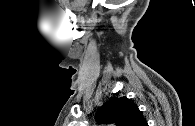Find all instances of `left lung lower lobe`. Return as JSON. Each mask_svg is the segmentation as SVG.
Here are the masks:
<instances>
[{"label": "left lung lower lobe", "mask_w": 195, "mask_h": 126, "mask_svg": "<svg viewBox=\"0 0 195 126\" xmlns=\"http://www.w3.org/2000/svg\"><path fill=\"white\" fill-rule=\"evenodd\" d=\"M142 126H148L147 122H145Z\"/></svg>", "instance_id": "1"}]
</instances>
